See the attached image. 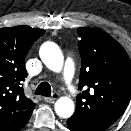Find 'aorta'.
<instances>
[{
	"mask_svg": "<svg viewBox=\"0 0 131 131\" xmlns=\"http://www.w3.org/2000/svg\"><path fill=\"white\" fill-rule=\"evenodd\" d=\"M40 58L50 70L60 72L64 58L58 45L45 42L40 48ZM55 112L62 118H69L74 113V102L68 97H61L55 103Z\"/></svg>",
	"mask_w": 131,
	"mask_h": 131,
	"instance_id": "obj_1",
	"label": "aorta"
}]
</instances>
